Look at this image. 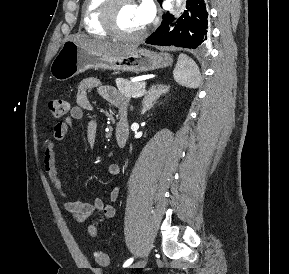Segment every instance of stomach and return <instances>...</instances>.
Here are the masks:
<instances>
[{
	"mask_svg": "<svg viewBox=\"0 0 289 274\" xmlns=\"http://www.w3.org/2000/svg\"><path fill=\"white\" fill-rule=\"evenodd\" d=\"M172 58L167 53L135 49L124 55L97 53L72 40L65 41L50 65V74L57 81H66L88 69H107L134 73L167 67Z\"/></svg>",
	"mask_w": 289,
	"mask_h": 274,
	"instance_id": "0dacf381",
	"label": "stomach"
}]
</instances>
